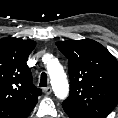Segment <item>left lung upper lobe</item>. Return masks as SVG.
<instances>
[{"mask_svg": "<svg viewBox=\"0 0 118 118\" xmlns=\"http://www.w3.org/2000/svg\"><path fill=\"white\" fill-rule=\"evenodd\" d=\"M68 58L70 95L63 109L70 118H105L118 103V62L100 43H56Z\"/></svg>", "mask_w": 118, "mask_h": 118, "instance_id": "5c2ea615", "label": "left lung upper lobe"}]
</instances>
